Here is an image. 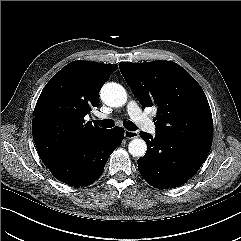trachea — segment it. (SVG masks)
<instances>
[{"label":"trachea","mask_w":241,"mask_h":241,"mask_svg":"<svg viewBox=\"0 0 241 241\" xmlns=\"http://www.w3.org/2000/svg\"><path fill=\"white\" fill-rule=\"evenodd\" d=\"M99 126L103 128H112L115 124L114 121L111 119H106V120H101V121H95ZM124 127L129 130V131H134L136 130V126L133 122L131 121H126L124 122Z\"/></svg>","instance_id":"1"}]
</instances>
